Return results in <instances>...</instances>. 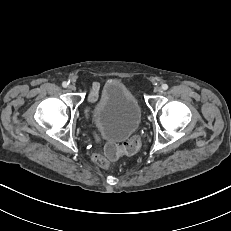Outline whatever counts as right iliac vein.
Returning <instances> with one entry per match:
<instances>
[{
	"label": "right iliac vein",
	"instance_id": "right-iliac-vein-1",
	"mask_svg": "<svg viewBox=\"0 0 231 231\" xmlns=\"http://www.w3.org/2000/svg\"><path fill=\"white\" fill-rule=\"evenodd\" d=\"M68 89H69L70 91H75V90H76V86H75L74 84H70V85L68 86Z\"/></svg>",
	"mask_w": 231,
	"mask_h": 231
}]
</instances>
